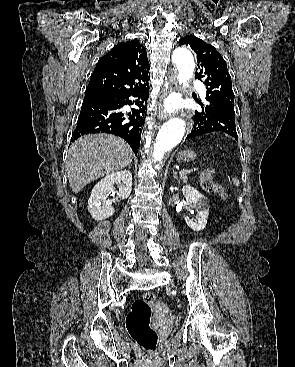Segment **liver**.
<instances>
[{
  "label": "liver",
  "mask_w": 295,
  "mask_h": 367,
  "mask_svg": "<svg viewBox=\"0 0 295 367\" xmlns=\"http://www.w3.org/2000/svg\"><path fill=\"white\" fill-rule=\"evenodd\" d=\"M133 156L119 137L94 134L79 138L68 150L65 167L72 191L78 193L88 183L127 167Z\"/></svg>",
  "instance_id": "liver-1"
}]
</instances>
